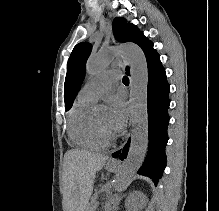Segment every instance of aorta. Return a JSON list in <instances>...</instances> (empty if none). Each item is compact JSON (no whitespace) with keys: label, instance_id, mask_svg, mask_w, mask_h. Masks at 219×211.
Wrapping results in <instances>:
<instances>
[{"label":"aorta","instance_id":"aorta-1","mask_svg":"<svg viewBox=\"0 0 219 211\" xmlns=\"http://www.w3.org/2000/svg\"><path fill=\"white\" fill-rule=\"evenodd\" d=\"M117 53H121L130 65L131 90H130V117L133 123L131 143L127 158L114 180L115 190L126 186L134 174L141 167L148 147V67L145 55L141 48L133 43H127L120 47H111L100 50L91 56L86 64L87 75L93 76L111 63ZM99 112L105 111L106 107H96Z\"/></svg>","mask_w":219,"mask_h":211}]
</instances>
